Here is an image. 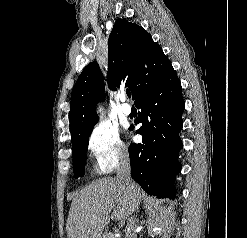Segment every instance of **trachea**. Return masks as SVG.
<instances>
[{
	"mask_svg": "<svg viewBox=\"0 0 247 238\" xmlns=\"http://www.w3.org/2000/svg\"><path fill=\"white\" fill-rule=\"evenodd\" d=\"M126 94L129 98L131 97V92L129 90L126 91Z\"/></svg>",
	"mask_w": 247,
	"mask_h": 238,
	"instance_id": "1",
	"label": "trachea"
}]
</instances>
